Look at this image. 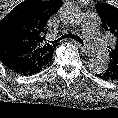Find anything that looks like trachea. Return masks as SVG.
I'll list each match as a JSON object with an SVG mask.
<instances>
[{
    "instance_id": "1",
    "label": "trachea",
    "mask_w": 118,
    "mask_h": 118,
    "mask_svg": "<svg viewBox=\"0 0 118 118\" xmlns=\"http://www.w3.org/2000/svg\"><path fill=\"white\" fill-rule=\"evenodd\" d=\"M64 39H73V40H75V41H77V42L83 44V40H82L79 36H77V35H75V34L63 35V36H61L60 38H58L57 40L50 41V43H52V44H53V43H57V42H59V41H61V40H64Z\"/></svg>"
}]
</instances>
